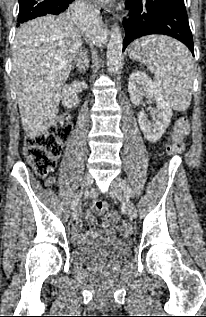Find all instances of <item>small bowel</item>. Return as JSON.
Listing matches in <instances>:
<instances>
[{"label": "small bowel", "mask_w": 206, "mask_h": 317, "mask_svg": "<svg viewBox=\"0 0 206 317\" xmlns=\"http://www.w3.org/2000/svg\"><path fill=\"white\" fill-rule=\"evenodd\" d=\"M53 180H49V183H52ZM85 219L86 221L88 222V228L87 230L82 233L81 229H82V224L81 222H76V224L74 225L73 227V236L74 238L77 240V241H86V240H90V239H93L95 238L98 233L95 231L94 229V218L92 216V214L90 212H86L85 213ZM111 223L109 222H105L104 223V232L107 234V235H111L113 234V230L111 228Z\"/></svg>", "instance_id": "obj_1"}]
</instances>
